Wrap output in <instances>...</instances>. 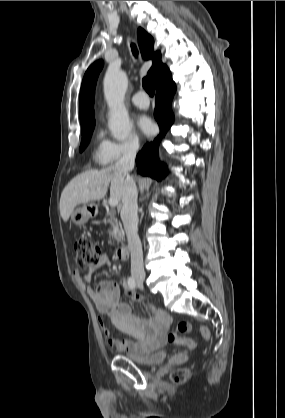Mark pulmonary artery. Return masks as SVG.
I'll use <instances>...</instances> for the list:
<instances>
[{"label":"pulmonary artery","mask_w":285,"mask_h":418,"mask_svg":"<svg viewBox=\"0 0 285 418\" xmlns=\"http://www.w3.org/2000/svg\"><path fill=\"white\" fill-rule=\"evenodd\" d=\"M132 103L139 108H147L150 101L144 92H138L132 97Z\"/></svg>","instance_id":"obj_1"}]
</instances>
